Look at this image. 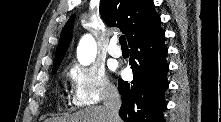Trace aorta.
I'll return each mask as SVG.
<instances>
[{
    "label": "aorta",
    "instance_id": "1",
    "mask_svg": "<svg viewBox=\"0 0 221 122\" xmlns=\"http://www.w3.org/2000/svg\"><path fill=\"white\" fill-rule=\"evenodd\" d=\"M96 52L97 46L95 39L90 34L84 35L77 49V58L80 64L85 66L89 65L95 60Z\"/></svg>",
    "mask_w": 221,
    "mask_h": 122
}]
</instances>
